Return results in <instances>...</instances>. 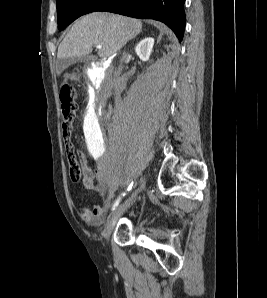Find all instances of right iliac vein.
Listing matches in <instances>:
<instances>
[{"instance_id": "obj_1", "label": "right iliac vein", "mask_w": 267, "mask_h": 298, "mask_svg": "<svg viewBox=\"0 0 267 298\" xmlns=\"http://www.w3.org/2000/svg\"><path fill=\"white\" fill-rule=\"evenodd\" d=\"M144 184H145V180L142 178L140 181L139 187L136 190H134L131 193V195L122 204L116 207L114 211L110 214V216L107 219L105 228L102 232V236L104 237L105 240L107 241L109 240V237L115 227L117 220L127 210V208H129L133 204L137 194L144 187Z\"/></svg>"}]
</instances>
